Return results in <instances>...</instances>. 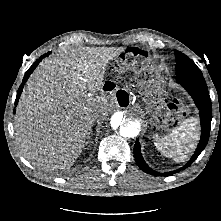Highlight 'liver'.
I'll use <instances>...</instances> for the list:
<instances>
[{"label":"liver","instance_id":"liver-1","mask_svg":"<svg viewBox=\"0 0 221 221\" xmlns=\"http://www.w3.org/2000/svg\"><path fill=\"white\" fill-rule=\"evenodd\" d=\"M123 51L80 47L54 54L39 65L21 94L14 122L25 158L45 167L74 164L94 121L109 110L107 98L93 93L102 89L108 63Z\"/></svg>","mask_w":221,"mask_h":221}]
</instances>
